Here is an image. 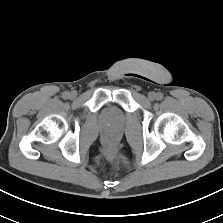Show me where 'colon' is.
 <instances>
[{
    "label": "colon",
    "instance_id": "5ec220e1",
    "mask_svg": "<svg viewBox=\"0 0 223 223\" xmlns=\"http://www.w3.org/2000/svg\"><path fill=\"white\" fill-rule=\"evenodd\" d=\"M108 168H109V169H111V168H112V166H108Z\"/></svg>",
    "mask_w": 223,
    "mask_h": 223
}]
</instances>
